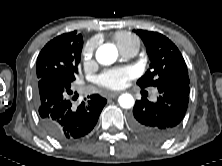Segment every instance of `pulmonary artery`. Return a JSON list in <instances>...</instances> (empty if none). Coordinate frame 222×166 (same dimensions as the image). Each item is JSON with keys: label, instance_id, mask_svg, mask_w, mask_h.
<instances>
[{"label": "pulmonary artery", "instance_id": "pulmonary-artery-1", "mask_svg": "<svg viewBox=\"0 0 222 166\" xmlns=\"http://www.w3.org/2000/svg\"><path fill=\"white\" fill-rule=\"evenodd\" d=\"M137 53V49H128V50H124L122 51V54L125 56V57H132L134 56L135 54ZM153 99L155 98V93L152 97Z\"/></svg>", "mask_w": 222, "mask_h": 166}]
</instances>
